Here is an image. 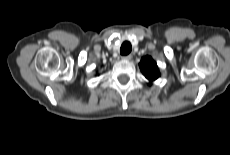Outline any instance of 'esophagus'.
Returning a JSON list of instances; mask_svg holds the SVG:
<instances>
[{
	"label": "esophagus",
	"instance_id": "esophagus-1",
	"mask_svg": "<svg viewBox=\"0 0 230 155\" xmlns=\"http://www.w3.org/2000/svg\"><path fill=\"white\" fill-rule=\"evenodd\" d=\"M131 58H132L131 54H128L122 57L123 60H130Z\"/></svg>",
	"mask_w": 230,
	"mask_h": 155
}]
</instances>
